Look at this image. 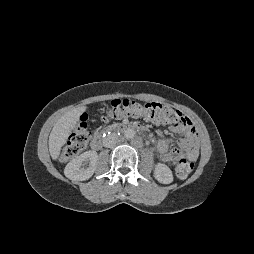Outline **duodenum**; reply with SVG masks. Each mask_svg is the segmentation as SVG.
Listing matches in <instances>:
<instances>
[{"mask_svg":"<svg viewBox=\"0 0 254 254\" xmlns=\"http://www.w3.org/2000/svg\"><path fill=\"white\" fill-rule=\"evenodd\" d=\"M112 129L117 131H134L137 129V127L135 125L118 124L114 125ZM91 146L94 150H99L102 147V139L100 135H97L93 139Z\"/></svg>","mask_w":254,"mask_h":254,"instance_id":"410a0bca","label":"duodenum"}]
</instances>
